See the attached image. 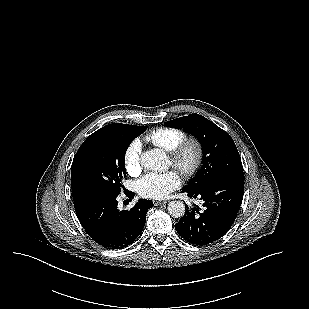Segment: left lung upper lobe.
Here are the masks:
<instances>
[{
    "mask_svg": "<svg viewBox=\"0 0 309 309\" xmlns=\"http://www.w3.org/2000/svg\"><path fill=\"white\" fill-rule=\"evenodd\" d=\"M194 135L203 151V165L185 189L200 188L220 177L243 174L242 162L230 135L199 114H190L164 124Z\"/></svg>",
    "mask_w": 309,
    "mask_h": 309,
    "instance_id": "1",
    "label": "left lung upper lobe"
}]
</instances>
